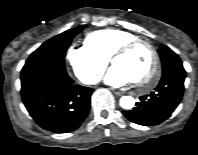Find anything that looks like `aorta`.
Masks as SVG:
<instances>
[{
  "label": "aorta",
  "mask_w": 198,
  "mask_h": 155,
  "mask_svg": "<svg viewBox=\"0 0 198 155\" xmlns=\"http://www.w3.org/2000/svg\"><path fill=\"white\" fill-rule=\"evenodd\" d=\"M135 105V100L133 97L131 96H122L120 98V106L123 108V109H126V110H130L134 107Z\"/></svg>",
  "instance_id": "obj_1"
}]
</instances>
